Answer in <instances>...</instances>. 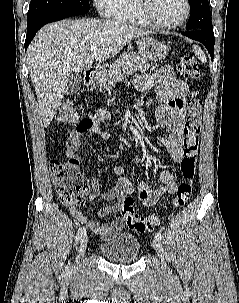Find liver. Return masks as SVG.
I'll use <instances>...</instances> for the list:
<instances>
[{"instance_id":"liver-1","label":"liver","mask_w":239,"mask_h":303,"mask_svg":"<svg viewBox=\"0 0 239 303\" xmlns=\"http://www.w3.org/2000/svg\"><path fill=\"white\" fill-rule=\"evenodd\" d=\"M148 32L126 22L103 19L63 20L38 31L27 50L28 69L47 127L67 90L68 77L117 55ZM91 46H96L90 51Z\"/></svg>"}]
</instances>
